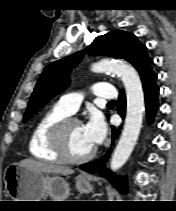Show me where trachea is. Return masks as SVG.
<instances>
[{"mask_svg":"<svg viewBox=\"0 0 176 211\" xmlns=\"http://www.w3.org/2000/svg\"><path fill=\"white\" fill-rule=\"evenodd\" d=\"M115 103H116L115 100L108 102V104H115Z\"/></svg>","mask_w":176,"mask_h":211,"instance_id":"trachea-1","label":"trachea"}]
</instances>
